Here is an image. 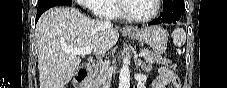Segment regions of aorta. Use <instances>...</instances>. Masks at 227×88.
I'll list each match as a JSON object with an SVG mask.
<instances>
[{"label":"aorta","instance_id":"762f6f07","mask_svg":"<svg viewBox=\"0 0 227 88\" xmlns=\"http://www.w3.org/2000/svg\"><path fill=\"white\" fill-rule=\"evenodd\" d=\"M129 59L126 57L123 59V66L120 70L119 75V88H129L130 87V72H129Z\"/></svg>","mask_w":227,"mask_h":88}]
</instances>
